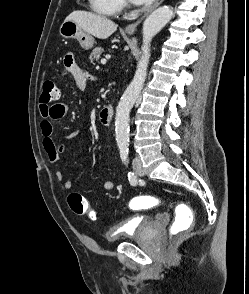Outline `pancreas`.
Listing matches in <instances>:
<instances>
[{
  "label": "pancreas",
  "instance_id": "pancreas-1",
  "mask_svg": "<svg viewBox=\"0 0 249 294\" xmlns=\"http://www.w3.org/2000/svg\"><path fill=\"white\" fill-rule=\"evenodd\" d=\"M103 51H104V50H103L101 47H97V48H95V49L91 52V54H90V56H89L90 61L93 62V60H99V58H100L101 54L103 53Z\"/></svg>",
  "mask_w": 249,
  "mask_h": 294
}]
</instances>
